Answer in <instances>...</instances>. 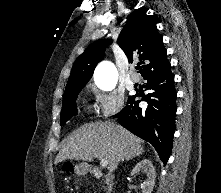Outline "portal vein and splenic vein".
I'll return each instance as SVG.
<instances>
[{
  "label": "portal vein and splenic vein",
  "instance_id": "18ae733b",
  "mask_svg": "<svg viewBox=\"0 0 221 193\" xmlns=\"http://www.w3.org/2000/svg\"><path fill=\"white\" fill-rule=\"evenodd\" d=\"M100 164L102 167H106L108 165V161L105 159H101Z\"/></svg>",
  "mask_w": 221,
  "mask_h": 193
}]
</instances>
